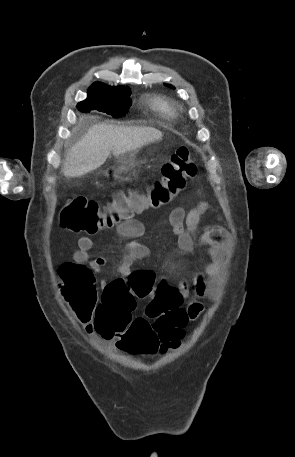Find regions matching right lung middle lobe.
<instances>
[{
    "mask_svg": "<svg viewBox=\"0 0 295 457\" xmlns=\"http://www.w3.org/2000/svg\"><path fill=\"white\" fill-rule=\"evenodd\" d=\"M130 95L129 88L116 91H88L87 99L78 103L77 108L82 112L98 110L119 118L123 117L131 106Z\"/></svg>",
    "mask_w": 295,
    "mask_h": 457,
    "instance_id": "right-lung-middle-lobe-1",
    "label": "right lung middle lobe"
}]
</instances>
